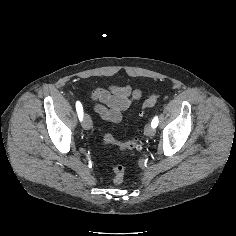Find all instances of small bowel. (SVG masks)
<instances>
[{"label":"small bowel","instance_id":"small-bowel-1","mask_svg":"<svg viewBox=\"0 0 236 236\" xmlns=\"http://www.w3.org/2000/svg\"><path fill=\"white\" fill-rule=\"evenodd\" d=\"M142 93L139 89L130 86L110 85L106 88H97L92 92L95 102V111L105 120L119 122L122 113L135 100L140 99Z\"/></svg>","mask_w":236,"mask_h":236}]
</instances>
